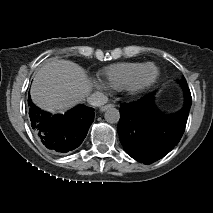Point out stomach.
<instances>
[{
	"mask_svg": "<svg viewBox=\"0 0 213 213\" xmlns=\"http://www.w3.org/2000/svg\"><path fill=\"white\" fill-rule=\"evenodd\" d=\"M160 104H161L163 107H165V106H166L165 100H164V99H161V100H160Z\"/></svg>",
	"mask_w": 213,
	"mask_h": 213,
	"instance_id": "obj_1",
	"label": "stomach"
}]
</instances>
